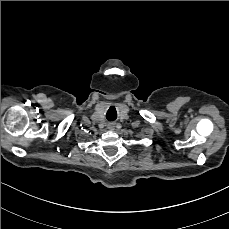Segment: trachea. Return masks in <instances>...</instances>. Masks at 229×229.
<instances>
[{"instance_id":"obj_1","label":"trachea","mask_w":229,"mask_h":229,"mask_svg":"<svg viewBox=\"0 0 229 229\" xmlns=\"http://www.w3.org/2000/svg\"><path fill=\"white\" fill-rule=\"evenodd\" d=\"M106 118L109 121H114L117 118V112L116 108L114 106H111L109 110L107 111Z\"/></svg>"}]
</instances>
